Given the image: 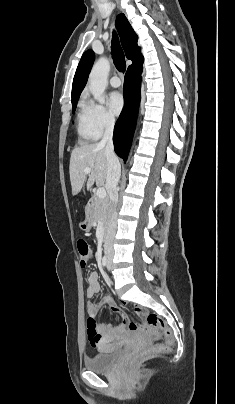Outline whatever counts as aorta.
I'll use <instances>...</instances> for the list:
<instances>
[{
  "label": "aorta",
  "mask_w": 235,
  "mask_h": 404,
  "mask_svg": "<svg viewBox=\"0 0 235 404\" xmlns=\"http://www.w3.org/2000/svg\"><path fill=\"white\" fill-rule=\"evenodd\" d=\"M110 71V62L107 58L101 57L92 67L89 75V89L94 99L99 103L104 102V91L107 86V78Z\"/></svg>",
  "instance_id": "762f6f07"
}]
</instances>
